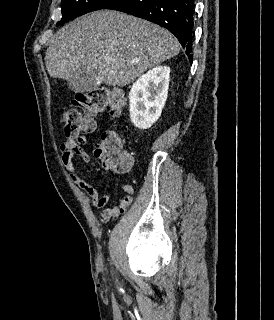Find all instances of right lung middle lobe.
<instances>
[{"label":"right lung middle lobe","mask_w":274,"mask_h":320,"mask_svg":"<svg viewBox=\"0 0 274 320\" xmlns=\"http://www.w3.org/2000/svg\"><path fill=\"white\" fill-rule=\"evenodd\" d=\"M112 1L114 0H62V19L57 25H62L88 12L103 9Z\"/></svg>","instance_id":"obj_1"}]
</instances>
